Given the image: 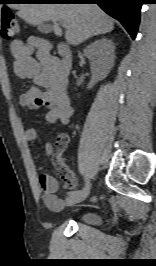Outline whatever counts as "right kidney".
Segmentation results:
<instances>
[{
	"label": "right kidney",
	"mask_w": 156,
	"mask_h": 266,
	"mask_svg": "<svg viewBox=\"0 0 156 266\" xmlns=\"http://www.w3.org/2000/svg\"><path fill=\"white\" fill-rule=\"evenodd\" d=\"M84 54L91 62L92 78L87 87L91 89L112 69L115 61V44L111 39L101 38L90 43L84 49Z\"/></svg>",
	"instance_id": "1"
}]
</instances>
